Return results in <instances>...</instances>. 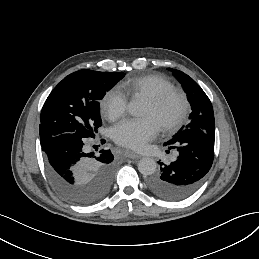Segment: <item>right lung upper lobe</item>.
I'll use <instances>...</instances> for the list:
<instances>
[{
	"instance_id": "obj_1",
	"label": "right lung upper lobe",
	"mask_w": 259,
	"mask_h": 259,
	"mask_svg": "<svg viewBox=\"0 0 259 259\" xmlns=\"http://www.w3.org/2000/svg\"><path fill=\"white\" fill-rule=\"evenodd\" d=\"M49 142V141H48ZM48 142H41V146H45Z\"/></svg>"
}]
</instances>
